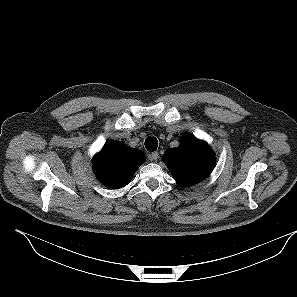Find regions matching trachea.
<instances>
[{
  "label": "trachea",
  "instance_id": "1",
  "mask_svg": "<svg viewBox=\"0 0 297 297\" xmlns=\"http://www.w3.org/2000/svg\"><path fill=\"white\" fill-rule=\"evenodd\" d=\"M145 147L150 152L157 150L158 140L155 137H151V136L147 137L145 139Z\"/></svg>",
  "mask_w": 297,
  "mask_h": 297
}]
</instances>
